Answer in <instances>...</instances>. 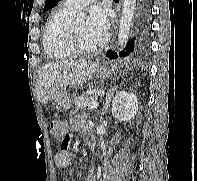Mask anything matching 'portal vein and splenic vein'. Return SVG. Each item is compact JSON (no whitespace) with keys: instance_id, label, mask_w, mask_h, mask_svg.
I'll return each instance as SVG.
<instances>
[{"instance_id":"18ae733b","label":"portal vein and splenic vein","mask_w":197,"mask_h":181,"mask_svg":"<svg viewBox=\"0 0 197 181\" xmlns=\"http://www.w3.org/2000/svg\"><path fill=\"white\" fill-rule=\"evenodd\" d=\"M99 106V103L98 102H92L89 106H88V108L90 109V110H92V109H95V108H97Z\"/></svg>"}]
</instances>
